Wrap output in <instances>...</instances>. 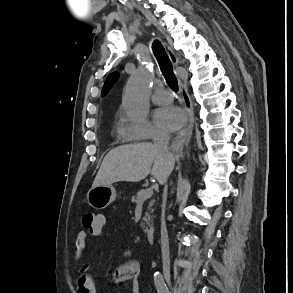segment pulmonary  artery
<instances>
[{
    "label": "pulmonary artery",
    "instance_id": "1",
    "mask_svg": "<svg viewBox=\"0 0 293 293\" xmlns=\"http://www.w3.org/2000/svg\"><path fill=\"white\" fill-rule=\"evenodd\" d=\"M173 95L165 89H158L152 95V101L156 104H168L172 101Z\"/></svg>",
    "mask_w": 293,
    "mask_h": 293
}]
</instances>
